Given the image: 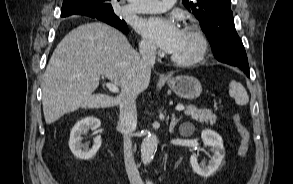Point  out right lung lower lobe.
Masks as SVG:
<instances>
[{"mask_svg": "<svg viewBox=\"0 0 293 184\" xmlns=\"http://www.w3.org/2000/svg\"><path fill=\"white\" fill-rule=\"evenodd\" d=\"M90 17L97 18V19H99V20H101V21H103V22H105V23H107V24H109L111 26H114V27L118 28L119 30H121L123 33H128V27H127V25H126V23L124 21H121V20H119V21L118 20H116V21L108 20V19H105V18H103L101 16H90Z\"/></svg>", "mask_w": 293, "mask_h": 184, "instance_id": "98d812e1", "label": "right lung lower lobe"}]
</instances>
